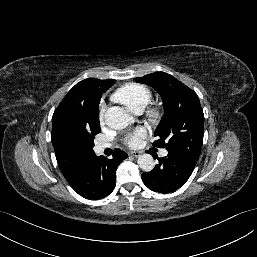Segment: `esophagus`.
<instances>
[{
  "instance_id": "esophagus-1",
  "label": "esophagus",
  "mask_w": 257,
  "mask_h": 257,
  "mask_svg": "<svg viewBox=\"0 0 257 257\" xmlns=\"http://www.w3.org/2000/svg\"><path fill=\"white\" fill-rule=\"evenodd\" d=\"M140 154H141L140 151H131V152H129V155L133 156V157H138V156H140Z\"/></svg>"
}]
</instances>
